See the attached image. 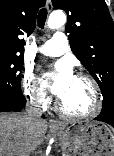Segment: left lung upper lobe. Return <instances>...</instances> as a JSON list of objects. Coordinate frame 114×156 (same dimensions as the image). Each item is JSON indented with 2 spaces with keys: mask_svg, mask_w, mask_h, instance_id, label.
Listing matches in <instances>:
<instances>
[{
  "mask_svg": "<svg viewBox=\"0 0 114 156\" xmlns=\"http://www.w3.org/2000/svg\"><path fill=\"white\" fill-rule=\"evenodd\" d=\"M68 15L65 26L72 52L98 83L101 112L114 113V22L104 0H52Z\"/></svg>",
  "mask_w": 114,
  "mask_h": 156,
  "instance_id": "5c2ea615",
  "label": "left lung upper lobe"
}]
</instances>
